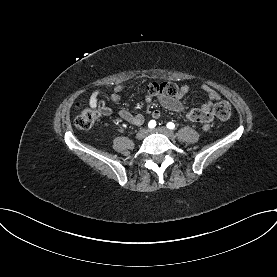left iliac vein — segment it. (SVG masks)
<instances>
[{
  "mask_svg": "<svg viewBox=\"0 0 277 277\" xmlns=\"http://www.w3.org/2000/svg\"><path fill=\"white\" fill-rule=\"evenodd\" d=\"M149 132L150 133H156V132H158V133H161V134L167 136L170 139H174L175 138L174 132L172 130H169V129L165 128V127H159V128H156V129H152Z\"/></svg>",
  "mask_w": 277,
  "mask_h": 277,
  "instance_id": "left-iliac-vein-1",
  "label": "left iliac vein"
}]
</instances>
